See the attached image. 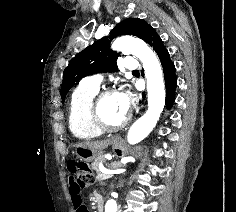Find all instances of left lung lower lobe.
<instances>
[{
	"mask_svg": "<svg viewBox=\"0 0 236 212\" xmlns=\"http://www.w3.org/2000/svg\"><path fill=\"white\" fill-rule=\"evenodd\" d=\"M146 42L153 47L162 63L166 86V105L170 108L175 100V89L177 86L175 66L170 59V55L165 48L162 39L154 28L150 31Z\"/></svg>",
	"mask_w": 236,
	"mask_h": 212,
	"instance_id": "obj_1",
	"label": "left lung lower lobe"
}]
</instances>
